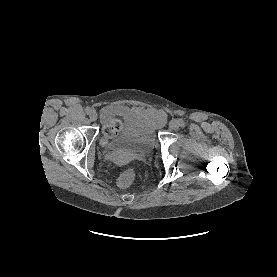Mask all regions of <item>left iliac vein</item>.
I'll return each mask as SVG.
<instances>
[{"label":"left iliac vein","instance_id":"4c4485c4","mask_svg":"<svg viewBox=\"0 0 277 277\" xmlns=\"http://www.w3.org/2000/svg\"><path fill=\"white\" fill-rule=\"evenodd\" d=\"M169 127L172 130H177L180 127L179 120H176V119L171 120L169 123Z\"/></svg>","mask_w":277,"mask_h":277}]
</instances>
